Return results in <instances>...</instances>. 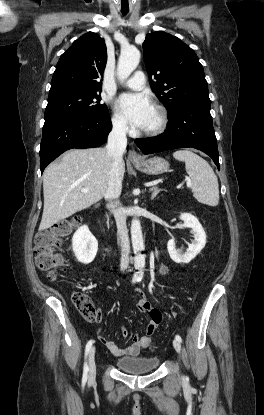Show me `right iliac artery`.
<instances>
[{"mask_svg":"<svg viewBox=\"0 0 264 415\" xmlns=\"http://www.w3.org/2000/svg\"><path fill=\"white\" fill-rule=\"evenodd\" d=\"M132 282L133 283L136 282V279H133ZM93 342L94 341L91 339L86 344V348H85V359L87 358V355H88V353H89V351H90V349L92 347ZM87 378H88V365H87V362L85 360L84 369H83V377H82V383H83V385L86 383Z\"/></svg>","mask_w":264,"mask_h":415,"instance_id":"obj_1","label":"right iliac artery"}]
</instances>
